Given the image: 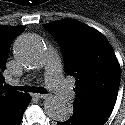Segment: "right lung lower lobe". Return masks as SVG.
Returning <instances> with one entry per match:
<instances>
[{
  "mask_svg": "<svg viewBox=\"0 0 125 125\" xmlns=\"http://www.w3.org/2000/svg\"><path fill=\"white\" fill-rule=\"evenodd\" d=\"M31 101L30 95L21 93L0 106V125H20L23 114Z\"/></svg>",
  "mask_w": 125,
  "mask_h": 125,
  "instance_id": "right-lung-lower-lobe-1",
  "label": "right lung lower lobe"
}]
</instances>
